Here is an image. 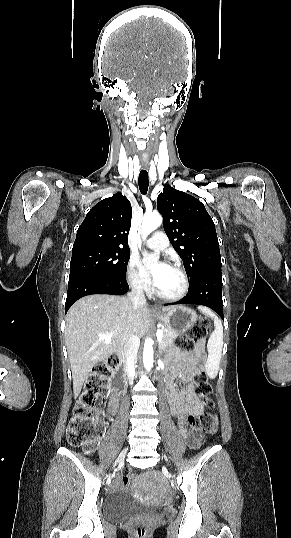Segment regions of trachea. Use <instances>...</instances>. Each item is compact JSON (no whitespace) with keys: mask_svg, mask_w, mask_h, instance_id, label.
I'll use <instances>...</instances> for the list:
<instances>
[{"mask_svg":"<svg viewBox=\"0 0 291 538\" xmlns=\"http://www.w3.org/2000/svg\"><path fill=\"white\" fill-rule=\"evenodd\" d=\"M138 184H139V190L140 192L145 195L148 191V186H149V179H148V173L146 170L142 169L140 171V174H139V179H138Z\"/></svg>","mask_w":291,"mask_h":538,"instance_id":"obj_1","label":"trachea"}]
</instances>
